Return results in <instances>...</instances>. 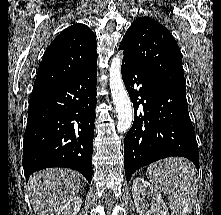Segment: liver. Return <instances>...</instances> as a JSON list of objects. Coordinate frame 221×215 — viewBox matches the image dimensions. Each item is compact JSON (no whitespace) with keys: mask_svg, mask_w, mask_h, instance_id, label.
<instances>
[{"mask_svg":"<svg viewBox=\"0 0 221 215\" xmlns=\"http://www.w3.org/2000/svg\"><path fill=\"white\" fill-rule=\"evenodd\" d=\"M80 188L79 173L63 168L36 172L28 182L30 202L37 215H54Z\"/></svg>","mask_w":221,"mask_h":215,"instance_id":"obj_1","label":"liver"}]
</instances>
